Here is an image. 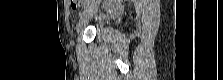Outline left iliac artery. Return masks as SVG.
Segmentation results:
<instances>
[{
	"instance_id": "1",
	"label": "left iliac artery",
	"mask_w": 223,
	"mask_h": 80,
	"mask_svg": "<svg viewBox=\"0 0 223 80\" xmlns=\"http://www.w3.org/2000/svg\"><path fill=\"white\" fill-rule=\"evenodd\" d=\"M89 4V1L88 0H86V5H88Z\"/></svg>"
}]
</instances>
